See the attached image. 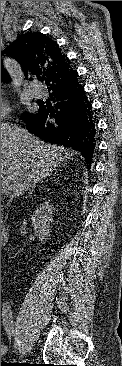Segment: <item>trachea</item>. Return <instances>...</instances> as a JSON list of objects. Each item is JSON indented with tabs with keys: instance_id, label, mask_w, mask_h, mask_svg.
<instances>
[{
	"instance_id": "obj_1",
	"label": "trachea",
	"mask_w": 122,
	"mask_h": 366,
	"mask_svg": "<svg viewBox=\"0 0 122 366\" xmlns=\"http://www.w3.org/2000/svg\"><path fill=\"white\" fill-rule=\"evenodd\" d=\"M39 80L40 81H43V80H45V78L44 77H40Z\"/></svg>"
}]
</instances>
